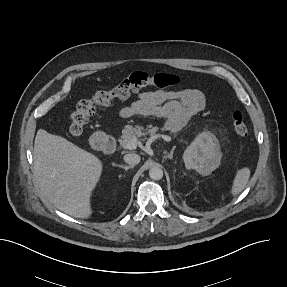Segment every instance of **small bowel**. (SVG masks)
I'll return each instance as SVG.
<instances>
[{"mask_svg":"<svg viewBox=\"0 0 287 287\" xmlns=\"http://www.w3.org/2000/svg\"><path fill=\"white\" fill-rule=\"evenodd\" d=\"M204 107V94L197 89L144 91L137 93L135 100L121 109L120 115L124 118L136 115L164 118L166 127L175 132Z\"/></svg>","mask_w":287,"mask_h":287,"instance_id":"c3829d8e","label":"small bowel"}]
</instances>
